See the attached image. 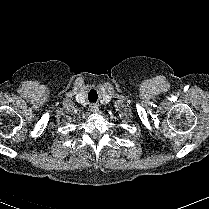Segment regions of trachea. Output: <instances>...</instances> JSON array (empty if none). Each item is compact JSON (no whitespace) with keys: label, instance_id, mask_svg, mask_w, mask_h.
<instances>
[{"label":"trachea","instance_id":"3493384b","mask_svg":"<svg viewBox=\"0 0 209 209\" xmlns=\"http://www.w3.org/2000/svg\"><path fill=\"white\" fill-rule=\"evenodd\" d=\"M88 99L90 102L95 103L98 99V94L96 92V90L91 89L90 92L88 93Z\"/></svg>","mask_w":209,"mask_h":209}]
</instances>
